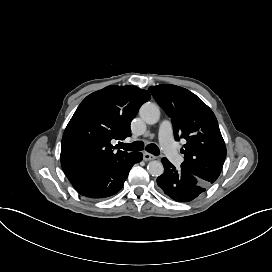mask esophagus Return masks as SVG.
I'll use <instances>...</instances> for the list:
<instances>
[{
  "label": "esophagus",
  "instance_id": "1",
  "mask_svg": "<svg viewBox=\"0 0 272 272\" xmlns=\"http://www.w3.org/2000/svg\"><path fill=\"white\" fill-rule=\"evenodd\" d=\"M154 159H156V156H154L148 152L143 153V160L144 161H150V160H154Z\"/></svg>",
  "mask_w": 272,
  "mask_h": 272
}]
</instances>
